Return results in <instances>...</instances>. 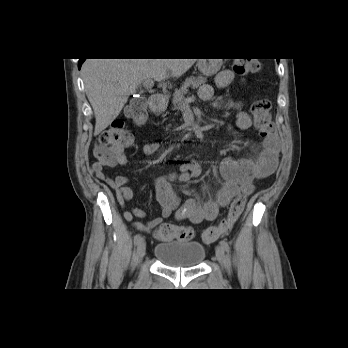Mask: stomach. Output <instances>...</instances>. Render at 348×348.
Returning <instances> with one entry per match:
<instances>
[{
  "label": "stomach",
  "mask_w": 348,
  "mask_h": 348,
  "mask_svg": "<svg viewBox=\"0 0 348 348\" xmlns=\"http://www.w3.org/2000/svg\"><path fill=\"white\" fill-rule=\"evenodd\" d=\"M222 65V59H199L197 66L201 74L205 76H213Z\"/></svg>",
  "instance_id": "1"
}]
</instances>
